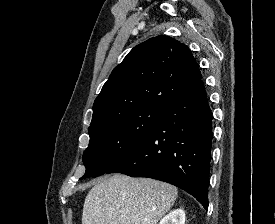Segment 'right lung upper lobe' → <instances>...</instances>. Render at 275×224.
<instances>
[{
  "label": "right lung upper lobe",
  "mask_w": 275,
  "mask_h": 224,
  "mask_svg": "<svg viewBox=\"0 0 275 224\" xmlns=\"http://www.w3.org/2000/svg\"><path fill=\"white\" fill-rule=\"evenodd\" d=\"M201 78L185 44L168 36L151 38L134 47L113 69L95 99L90 127L143 107L167 109Z\"/></svg>",
  "instance_id": "cb5924a9"
}]
</instances>
